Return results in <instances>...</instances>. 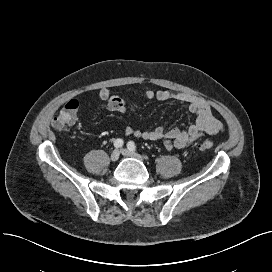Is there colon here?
I'll list each match as a JSON object with an SVG mask.
<instances>
[{
  "label": "colon",
  "mask_w": 272,
  "mask_h": 272,
  "mask_svg": "<svg viewBox=\"0 0 272 272\" xmlns=\"http://www.w3.org/2000/svg\"><path fill=\"white\" fill-rule=\"evenodd\" d=\"M71 124V117L68 111L63 110L61 113L53 120V127L57 130L69 127ZM213 146L211 141H202L199 143L198 147L201 150L211 149Z\"/></svg>",
  "instance_id": "1"
}]
</instances>
